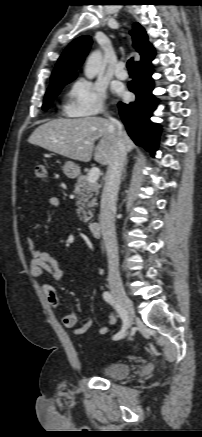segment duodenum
<instances>
[{"instance_id":"duodenum-1","label":"duodenum","mask_w":202,"mask_h":437,"mask_svg":"<svg viewBox=\"0 0 202 437\" xmlns=\"http://www.w3.org/2000/svg\"><path fill=\"white\" fill-rule=\"evenodd\" d=\"M89 231L91 235L95 238H98L101 236L102 226L101 223L98 221H92L89 223Z\"/></svg>"}]
</instances>
